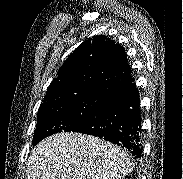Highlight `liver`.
<instances>
[{"label": "liver", "instance_id": "6515ba94", "mask_svg": "<svg viewBox=\"0 0 183 179\" xmlns=\"http://www.w3.org/2000/svg\"><path fill=\"white\" fill-rule=\"evenodd\" d=\"M133 169L126 150L81 133H58L30 152L27 179H121Z\"/></svg>", "mask_w": 183, "mask_h": 179}]
</instances>
